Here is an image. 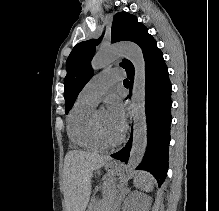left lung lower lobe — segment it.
<instances>
[{"mask_svg": "<svg viewBox=\"0 0 219 211\" xmlns=\"http://www.w3.org/2000/svg\"><path fill=\"white\" fill-rule=\"evenodd\" d=\"M145 71L147 148L143 160L137 168L149 171L161 185L166 178L169 160L172 85L160 49L147 58ZM127 77L131 80L129 93V97H131L134 71L128 73ZM131 146L132 136L126 146L117 153L112 154L111 157L127 162Z\"/></svg>", "mask_w": 219, "mask_h": 211, "instance_id": "1", "label": "left lung lower lobe"}]
</instances>
